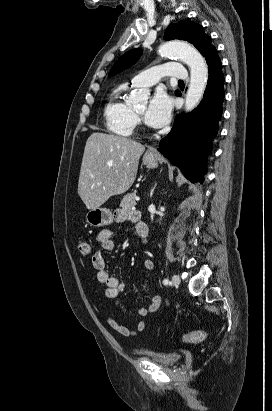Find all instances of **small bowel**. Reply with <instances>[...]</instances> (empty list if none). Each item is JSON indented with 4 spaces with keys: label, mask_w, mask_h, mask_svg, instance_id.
<instances>
[{
    "label": "small bowel",
    "mask_w": 272,
    "mask_h": 411,
    "mask_svg": "<svg viewBox=\"0 0 272 411\" xmlns=\"http://www.w3.org/2000/svg\"><path fill=\"white\" fill-rule=\"evenodd\" d=\"M140 218L138 211L131 209H120L115 214V220L119 223L135 222ZM96 241L102 246L106 251H112L115 248V243L112 239V231L109 229H104L98 232L96 235ZM92 264L96 270L97 281L105 286L104 294L107 298H116L123 290L124 283L119 280L113 274H110L107 270L106 261L100 252H95L92 255ZM143 268L146 271H151L154 268V263L150 259H145L143 261ZM164 298L160 295H154L150 298V302L147 306L138 307L135 313L138 317H145L150 313L158 310L162 304ZM106 323L117 333L129 337L135 336L145 330L146 324L144 321L139 320L135 323L133 329H129L124 325L118 323L110 312L105 314Z\"/></svg>",
    "instance_id": "1"
}]
</instances>
